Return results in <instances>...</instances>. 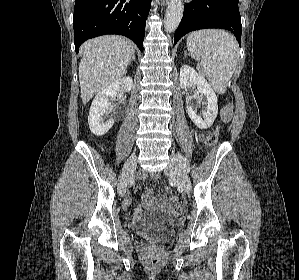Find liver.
<instances>
[{
	"label": "liver",
	"mask_w": 299,
	"mask_h": 280,
	"mask_svg": "<svg viewBox=\"0 0 299 280\" xmlns=\"http://www.w3.org/2000/svg\"><path fill=\"white\" fill-rule=\"evenodd\" d=\"M134 52L130 41L115 35L84 43L79 64L82 102L86 104L96 93L120 79L126 73Z\"/></svg>",
	"instance_id": "obj_1"
}]
</instances>
